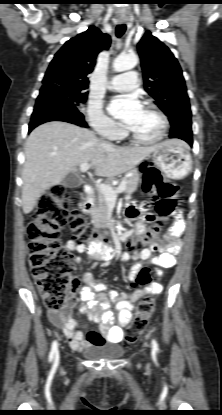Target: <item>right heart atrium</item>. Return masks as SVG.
<instances>
[{"label": "right heart atrium", "mask_w": 222, "mask_h": 415, "mask_svg": "<svg viewBox=\"0 0 222 415\" xmlns=\"http://www.w3.org/2000/svg\"><path fill=\"white\" fill-rule=\"evenodd\" d=\"M86 119L97 134L109 140H115L121 134L120 127L96 104H90L88 106Z\"/></svg>", "instance_id": "d8ad5b80"}]
</instances>
